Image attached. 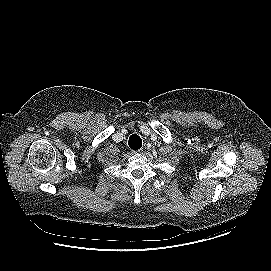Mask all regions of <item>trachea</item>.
<instances>
[{
    "instance_id": "3493384b",
    "label": "trachea",
    "mask_w": 271,
    "mask_h": 271,
    "mask_svg": "<svg viewBox=\"0 0 271 271\" xmlns=\"http://www.w3.org/2000/svg\"><path fill=\"white\" fill-rule=\"evenodd\" d=\"M128 145L132 150H138L142 147V140L139 135L132 134L129 137Z\"/></svg>"
}]
</instances>
